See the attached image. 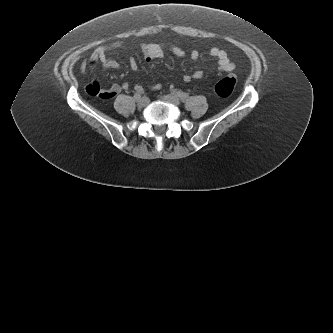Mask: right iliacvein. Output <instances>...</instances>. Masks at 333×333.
Listing matches in <instances>:
<instances>
[{
  "mask_svg": "<svg viewBox=\"0 0 333 333\" xmlns=\"http://www.w3.org/2000/svg\"><path fill=\"white\" fill-rule=\"evenodd\" d=\"M148 103H149L148 97H142L137 101V106L139 108H144L148 105Z\"/></svg>",
  "mask_w": 333,
  "mask_h": 333,
  "instance_id": "right-iliac-vein-1",
  "label": "right iliac vein"
}]
</instances>
